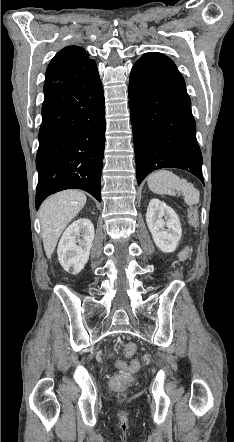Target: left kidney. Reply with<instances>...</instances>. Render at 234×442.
I'll return each instance as SVG.
<instances>
[{
	"mask_svg": "<svg viewBox=\"0 0 234 442\" xmlns=\"http://www.w3.org/2000/svg\"><path fill=\"white\" fill-rule=\"evenodd\" d=\"M146 222L156 246L165 253L173 252L181 239L182 229L178 215L157 198L150 200Z\"/></svg>",
	"mask_w": 234,
	"mask_h": 442,
	"instance_id": "obj_1",
	"label": "left kidney"
}]
</instances>
